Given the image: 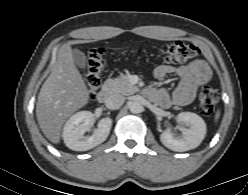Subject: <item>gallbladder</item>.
<instances>
[{
	"label": "gallbladder",
	"instance_id": "gallbladder-1",
	"mask_svg": "<svg viewBox=\"0 0 248 195\" xmlns=\"http://www.w3.org/2000/svg\"><path fill=\"white\" fill-rule=\"evenodd\" d=\"M72 54H73V59H74L75 64L79 68H85L86 63H87V58L85 54L79 49H74Z\"/></svg>",
	"mask_w": 248,
	"mask_h": 195
}]
</instances>
